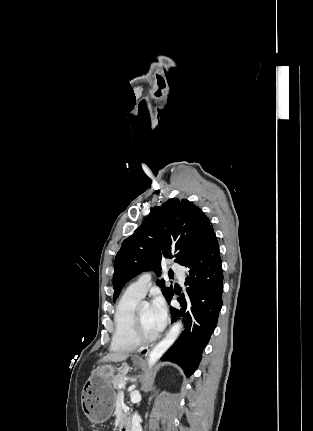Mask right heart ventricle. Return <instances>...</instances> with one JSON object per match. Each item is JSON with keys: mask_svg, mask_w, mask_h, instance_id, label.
<instances>
[{"mask_svg": "<svg viewBox=\"0 0 313 431\" xmlns=\"http://www.w3.org/2000/svg\"><path fill=\"white\" fill-rule=\"evenodd\" d=\"M140 298L126 292L118 300L114 311V330L111 349L115 352H129L138 347L132 336L135 308Z\"/></svg>", "mask_w": 313, "mask_h": 431, "instance_id": "1", "label": "right heart ventricle"}]
</instances>
